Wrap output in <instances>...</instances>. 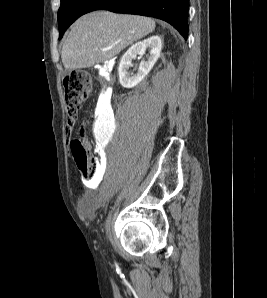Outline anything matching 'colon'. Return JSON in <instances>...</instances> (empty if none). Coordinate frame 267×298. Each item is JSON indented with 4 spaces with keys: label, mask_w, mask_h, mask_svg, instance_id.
Here are the masks:
<instances>
[{
    "label": "colon",
    "mask_w": 267,
    "mask_h": 298,
    "mask_svg": "<svg viewBox=\"0 0 267 298\" xmlns=\"http://www.w3.org/2000/svg\"><path fill=\"white\" fill-rule=\"evenodd\" d=\"M90 88V76L85 71H75L64 78L68 128L72 127L77 120L81 105L87 98ZM70 149L82 177L88 181L94 179L97 171V158L89 153L81 139H73Z\"/></svg>",
    "instance_id": "obj_1"
}]
</instances>
